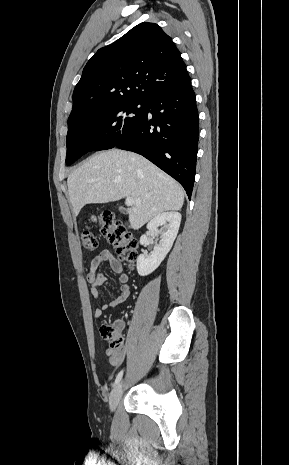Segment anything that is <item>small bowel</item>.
I'll return each mask as SVG.
<instances>
[{
	"instance_id": "c3829d8e",
	"label": "small bowel",
	"mask_w": 289,
	"mask_h": 465,
	"mask_svg": "<svg viewBox=\"0 0 289 465\" xmlns=\"http://www.w3.org/2000/svg\"><path fill=\"white\" fill-rule=\"evenodd\" d=\"M104 262H108L111 269L115 273L119 274L118 281L121 284V286H120L119 293L115 299L107 303L98 304L94 312V316L97 319L101 317L103 311L109 308H114L118 306L119 304L126 301L130 295V286L128 284L129 276L128 274L123 272V266L121 262L118 259H116L109 250L100 251L91 260L90 269H89V272L87 273V281L90 284L91 295L95 299H98L99 298V287L103 285L107 279L105 273L98 270L99 266ZM116 325L119 330H121L124 327V323L122 321L116 322ZM105 353L108 356L109 361L113 366H117L120 364L122 360V355L117 359H113L111 357V350L108 348L105 349Z\"/></svg>"
}]
</instances>
